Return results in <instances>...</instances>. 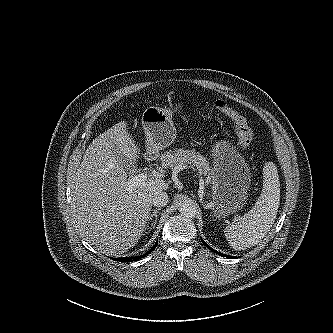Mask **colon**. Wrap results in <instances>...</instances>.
Wrapping results in <instances>:
<instances>
[{
    "mask_svg": "<svg viewBox=\"0 0 333 333\" xmlns=\"http://www.w3.org/2000/svg\"><path fill=\"white\" fill-rule=\"evenodd\" d=\"M201 99H203V97ZM213 107L224 113L232 121L238 136L240 148L242 150L249 149L253 141V133L246 119L239 112L229 106L226 101L217 100L213 103Z\"/></svg>",
    "mask_w": 333,
    "mask_h": 333,
    "instance_id": "colon-1",
    "label": "colon"
}]
</instances>
